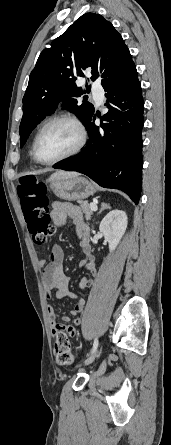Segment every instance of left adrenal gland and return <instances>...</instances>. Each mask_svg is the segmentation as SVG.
Wrapping results in <instances>:
<instances>
[{"label": "left adrenal gland", "instance_id": "a2214340", "mask_svg": "<svg viewBox=\"0 0 171 445\" xmlns=\"http://www.w3.org/2000/svg\"><path fill=\"white\" fill-rule=\"evenodd\" d=\"M105 209H110V206L108 204L102 203L101 204V209H100L99 213L102 212Z\"/></svg>", "mask_w": 171, "mask_h": 445}]
</instances>
